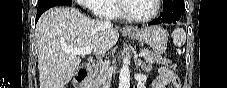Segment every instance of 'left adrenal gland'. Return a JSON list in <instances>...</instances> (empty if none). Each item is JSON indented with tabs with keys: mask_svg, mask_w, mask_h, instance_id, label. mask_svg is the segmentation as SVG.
I'll return each mask as SVG.
<instances>
[{
	"mask_svg": "<svg viewBox=\"0 0 227 88\" xmlns=\"http://www.w3.org/2000/svg\"><path fill=\"white\" fill-rule=\"evenodd\" d=\"M136 62H137V67H141V69L146 72L149 70V66L142 63V61L139 57H136Z\"/></svg>",
	"mask_w": 227,
	"mask_h": 88,
	"instance_id": "1",
	"label": "left adrenal gland"
}]
</instances>
